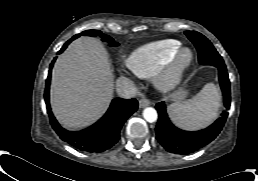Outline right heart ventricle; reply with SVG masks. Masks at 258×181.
Listing matches in <instances>:
<instances>
[{
    "mask_svg": "<svg viewBox=\"0 0 258 181\" xmlns=\"http://www.w3.org/2000/svg\"><path fill=\"white\" fill-rule=\"evenodd\" d=\"M180 45L174 39L147 43L130 54L127 65L137 76L151 78L173 58Z\"/></svg>",
    "mask_w": 258,
    "mask_h": 181,
    "instance_id": "right-heart-ventricle-1",
    "label": "right heart ventricle"
}]
</instances>
